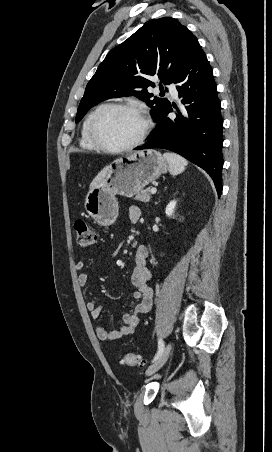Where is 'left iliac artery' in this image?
Listing matches in <instances>:
<instances>
[{"label": "left iliac artery", "mask_w": 272, "mask_h": 452, "mask_svg": "<svg viewBox=\"0 0 272 452\" xmlns=\"http://www.w3.org/2000/svg\"><path fill=\"white\" fill-rule=\"evenodd\" d=\"M163 350H164V342H163V340L161 338H159V340H158V352L155 355V357L153 359V362L156 361L159 358V356L162 354Z\"/></svg>", "instance_id": "1"}]
</instances>
